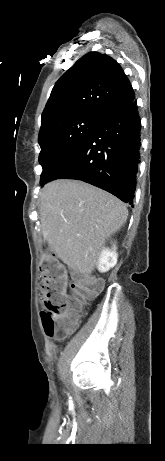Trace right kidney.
<instances>
[{
	"mask_svg": "<svg viewBox=\"0 0 165 461\" xmlns=\"http://www.w3.org/2000/svg\"><path fill=\"white\" fill-rule=\"evenodd\" d=\"M117 257L118 255L116 253L115 245H113L112 249H103L98 260V270L101 273L107 272L110 268L116 265Z\"/></svg>",
	"mask_w": 165,
	"mask_h": 461,
	"instance_id": "1",
	"label": "right kidney"
}]
</instances>
